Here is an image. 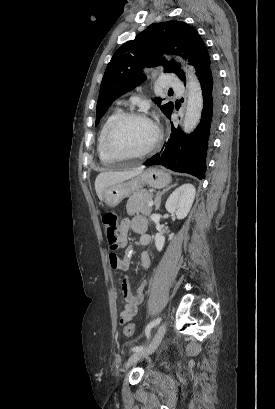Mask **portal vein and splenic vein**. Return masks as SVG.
Instances as JSON below:
<instances>
[{
    "label": "portal vein and splenic vein",
    "mask_w": 275,
    "mask_h": 409,
    "mask_svg": "<svg viewBox=\"0 0 275 409\" xmlns=\"http://www.w3.org/2000/svg\"><path fill=\"white\" fill-rule=\"evenodd\" d=\"M152 205H153V200H151V202H149L148 207H152Z\"/></svg>",
    "instance_id": "18ae733b"
}]
</instances>
